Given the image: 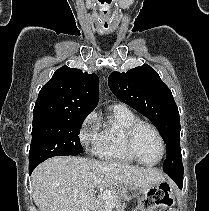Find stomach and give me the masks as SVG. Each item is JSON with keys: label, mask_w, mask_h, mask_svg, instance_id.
<instances>
[{"label": "stomach", "mask_w": 209, "mask_h": 211, "mask_svg": "<svg viewBox=\"0 0 209 211\" xmlns=\"http://www.w3.org/2000/svg\"><path fill=\"white\" fill-rule=\"evenodd\" d=\"M120 192L124 200H134V199H137L141 195V193L143 192V189L135 185H127V186H123L120 189Z\"/></svg>", "instance_id": "stomach-1"}]
</instances>
